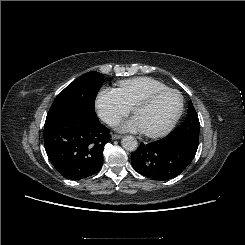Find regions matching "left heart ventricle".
I'll use <instances>...</instances> for the list:
<instances>
[{
  "label": "left heart ventricle",
  "instance_id": "obj_1",
  "mask_svg": "<svg viewBox=\"0 0 245 245\" xmlns=\"http://www.w3.org/2000/svg\"><path fill=\"white\" fill-rule=\"evenodd\" d=\"M180 99L175 93H166L151 103L136 107L134 115L143 132H155L166 127L176 115Z\"/></svg>",
  "mask_w": 245,
  "mask_h": 245
}]
</instances>
